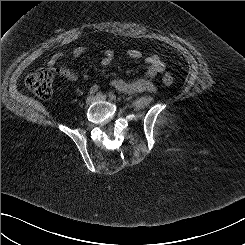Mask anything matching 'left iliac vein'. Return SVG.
<instances>
[{
  "label": "left iliac vein",
  "mask_w": 245,
  "mask_h": 245,
  "mask_svg": "<svg viewBox=\"0 0 245 245\" xmlns=\"http://www.w3.org/2000/svg\"><path fill=\"white\" fill-rule=\"evenodd\" d=\"M97 101H107L108 98L106 95L96 96Z\"/></svg>",
  "instance_id": "left-iliac-vein-1"
}]
</instances>
